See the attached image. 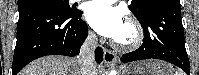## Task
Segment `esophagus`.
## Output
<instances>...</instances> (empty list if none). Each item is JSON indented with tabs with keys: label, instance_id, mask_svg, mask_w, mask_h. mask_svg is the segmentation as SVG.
I'll use <instances>...</instances> for the list:
<instances>
[{
	"label": "esophagus",
	"instance_id": "esophagus-1",
	"mask_svg": "<svg viewBox=\"0 0 199 75\" xmlns=\"http://www.w3.org/2000/svg\"><path fill=\"white\" fill-rule=\"evenodd\" d=\"M117 61V55L114 51L104 49V62L106 65H114Z\"/></svg>",
	"mask_w": 199,
	"mask_h": 75
}]
</instances>
